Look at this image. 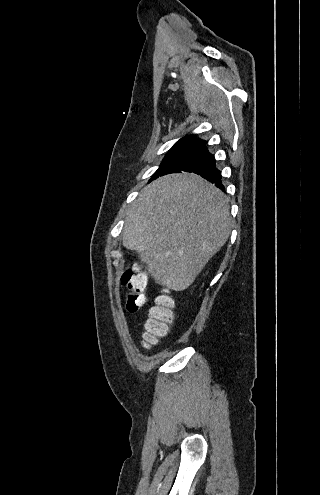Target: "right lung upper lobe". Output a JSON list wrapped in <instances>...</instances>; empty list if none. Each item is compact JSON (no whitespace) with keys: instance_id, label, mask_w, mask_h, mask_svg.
<instances>
[{"instance_id":"obj_1","label":"right lung upper lobe","mask_w":320,"mask_h":495,"mask_svg":"<svg viewBox=\"0 0 320 495\" xmlns=\"http://www.w3.org/2000/svg\"><path fill=\"white\" fill-rule=\"evenodd\" d=\"M180 140H194V141H203V140H201V139H198V138L196 137V135H187L186 137L181 138ZM203 142H205V141H203Z\"/></svg>"}]
</instances>
